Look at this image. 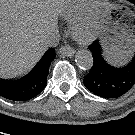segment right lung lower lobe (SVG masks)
<instances>
[{"mask_svg":"<svg viewBox=\"0 0 135 135\" xmlns=\"http://www.w3.org/2000/svg\"><path fill=\"white\" fill-rule=\"evenodd\" d=\"M54 48H50L35 68L25 77L14 81L0 80V96L12 101H26L40 94L46 86Z\"/></svg>","mask_w":135,"mask_h":135,"instance_id":"obj_1","label":"right lung lower lobe"}]
</instances>
